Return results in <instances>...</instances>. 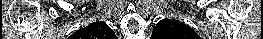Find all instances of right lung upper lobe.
Masks as SVG:
<instances>
[{
	"mask_svg": "<svg viewBox=\"0 0 263 39\" xmlns=\"http://www.w3.org/2000/svg\"><path fill=\"white\" fill-rule=\"evenodd\" d=\"M82 39H114L115 33L104 22H94L74 33Z\"/></svg>",
	"mask_w": 263,
	"mask_h": 39,
	"instance_id": "1",
	"label": "right lung upper lobe"
}]
</instances>
